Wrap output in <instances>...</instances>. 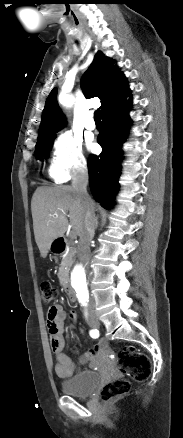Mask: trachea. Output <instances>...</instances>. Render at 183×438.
<instances>
[{"mask_svg":"<svg viewBox=\"0 0 183 438\" xmlns=\"http://www.w3.org/2000/svg\"><path fill=\"white\" fill-rule=\"evenodd\" d=\"M94 120H95V121H101L100 110H96V111L94 112Z\"/></svg>","mask_w":183,"mask_h":438,"instance_id":"obj_1","label":"trachea"}]
</instances>
